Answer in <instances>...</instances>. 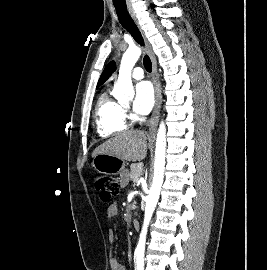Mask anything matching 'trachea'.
I'll list each match as a JSON object with an SVG mask.
<instances>
[{
  "label": "trachea",
  "instance_id": "obj_1",
  "mask_svg": "<svg viewBox=\"0 0 267 270\" xmlns=\"http://www.w3.org/2000/svg\"><path fill=\"white\" fill-rule=\"evenodd\" d=\"M115 9H116V13H117V16H118V19H119L121 25L132 35V37L134 38V40L138 44L144 45L142 35H141L137 25L135 24V22L133 21V19L129 15L127 8L115 6ZM143 62H144L145 69L148 72H151L152 63H151L150 58L147 55H145Z\"/></svg>",
  "mask_w": 267,
  "mask_h": 270
}]
</instances>
